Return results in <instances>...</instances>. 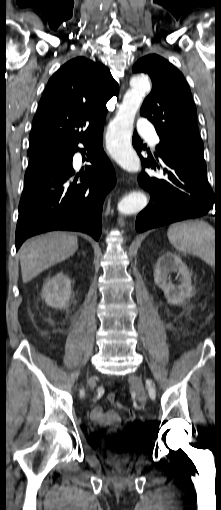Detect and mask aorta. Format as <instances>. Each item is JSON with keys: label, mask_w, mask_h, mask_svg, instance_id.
I'll return each instance as SVG.
<instances>
[{"label": "aorta", "mask_w": 221, "mask_h": 510, "mask_svg": "<svg viewBox=\"0 0 221 510\" xmlns=\"http://www.w3.org/2000/svg\"><path fill=\"white\" fill-rule=\"evenodd\" d=\"M150 88V82L146 76H134L115 119L109 125L108 150L115 161L128 172L135 173L141 169L140 159L131 146V135L135 115ZM147 204L148 199L144 193L133 191L119 201L117 209L122 214L130 215L140 212Z\"/></svg>", "instance_id": "762f6f07"}]
</instances>
